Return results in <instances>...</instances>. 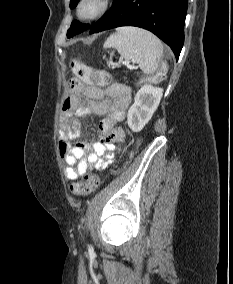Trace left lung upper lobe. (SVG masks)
<instances>
[{"mask_svg": "<svg viewBox=\"0 0 233 284\" xmlns=\"http://www.w3.org/2000/svg\"><path fill=\"white\" fill-rule=\"evenodd\" d=\"M79 0H71L70 1V8H75L77 6ZM89 25L81 24L78 21H73L70 28L67 31V37L70 38L76 34H79L85 31Z\"/></svg>", "mask_w": 233, "mask_h": 284, "instance_id": "5c2ea615", "label": "left lung upper lobe"}]
</instances>
